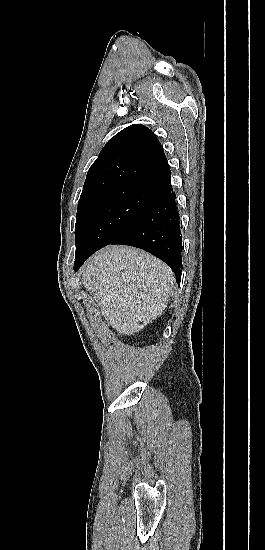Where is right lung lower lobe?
<instances>
[{
    "label": "right lung lower lobe",
    "mask_w": 265,
    "mask_h": 550,
    "mask_svg": "<svg viewBox=\"0 0 265 550\" xmlns=\"http://www.w3.org/2000/svg\"><path fill=\"white\" fill-rule=\"evenodd\" d=\"M170 176L162 182L153 201L140 217L110 244L130 245L155 255L171 267L180 284L182 236L176 196L169 185ZM93 253L77 260L74 270L77 271Z\"/></svg>",
    "instance_id": "98d812e1"
}]
</instances>
